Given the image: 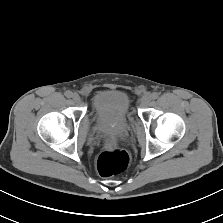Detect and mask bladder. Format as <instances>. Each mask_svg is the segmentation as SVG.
Here are the masks:
<instances>
[{"mask_svg":"<svg viewBox=\"0 0 223 223\" xmlns=\"http://www.w3.org/2000/svg\"><path fill=\"white\" fill-rule=\"evenodd\" d=\"M92 108L99 120L121 122L130 114L131 100L123 90H102L94 95Z\"/></svg>","mask_w":223,"mask_h":223,"instance_id":"obj_1","label":"bladder"}]
</instances>
